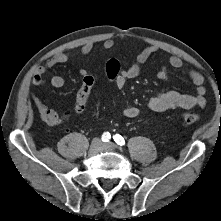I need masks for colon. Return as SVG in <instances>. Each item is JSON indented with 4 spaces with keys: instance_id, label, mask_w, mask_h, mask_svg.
Here are the masks:
<instances>
[{
    "instance_id": "5ec220e1",
    "label": "colon",
    "mask_w": 221,
    "mask_h": 221,
    "mask_svg": "<svg viewBox=\"0 0 221 221\" xmlns=\"http://www.w3.org/2000/svg\"><path fill=\"white\" fill-rule=\"evenodd\" d=\"M120 73L121 66L116 59L110 58L105 61L103 78L106 82H113L118 78ZM94 82L95 78L91 74H88L83 78L82 85L77 93L75 105V109L77 112H82L85 109ZM200 118V114L191 112H185L181 116L182 122L185 125L195 124L200 120Z\"/></svg>"
}]
</instances>
